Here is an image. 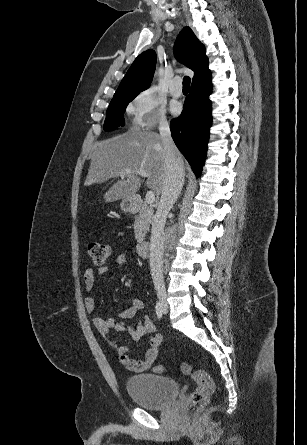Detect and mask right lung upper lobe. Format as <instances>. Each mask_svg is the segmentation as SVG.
Masks as SVG:
<instances>
[{
    "instance_id": "right-lung-upper-lobe-1",
    "label": "right lung upper lobe",
    "mask_w": 307,
    "mask_h": 445,
    "mask_svg": "<svg viewBox=\"0 0 307 445\" xmlns=\"http://www.w3.org/2000/svg\"><path fill=\"white\" fill-rule=\"evenodd\" d=\"M204 45L197 39L189 27H185L179 34L174 46L177 60L194 71L193 80L208 71V58ZM156 65L154 50H146L133 62L122 79L111 102L127 97H136L145 90L152 80Z\"/></svg>"
}]
</instances>
